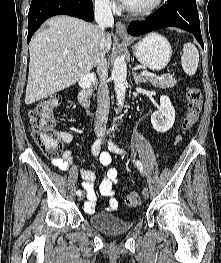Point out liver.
<instances>
[{
    "mask_svg": "<svg viewBox=\"0 0 221 263\" xmlns=\"http://www.w3.org/2000/svg\"><path fill=\"white\" fill-rule=\"evenodd\" d=\"M100 41L98 26L81 19L62 15L46 21L29 44L25 103L46 98L86 76L95 65ZM111 45V35L105 34V53Z\"/></svg>",
    "mask_w": 221,
    "mask_h": 263,
    "instance_id": "6515ba94",
    "label": "liver"
}]
</instances>
